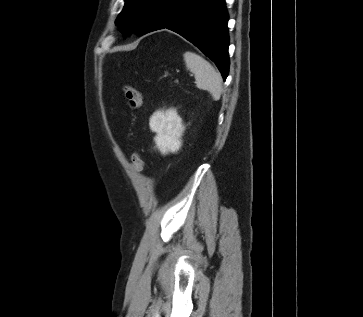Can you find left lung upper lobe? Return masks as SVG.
I'll return each mask as SVG.
<instances>
[{
  "label": "left lung upper lobe",
  "instance_id": "left-lung-upper-lobe-1",
  "mask_svg": "<svg viewBox=\"0 0 363 317\" xmlns=\"http://www.w3.org/2000/svg\"><path fill=\"white\" fill-rule=\"evenodd\" d=\"M159 0H125L115 24L122 33L143 34L150 23Z\"/></svg>",
  "mask_w": 363,
  "mask_h": 317
}]
</instances>
